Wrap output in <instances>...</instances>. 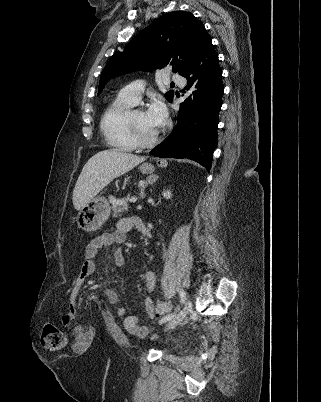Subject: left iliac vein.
<instances>
[{"instance_id":"4c4485c4","label":"left iliac vein","mask_w":321,"mask_h":402,"mask_svg":"<svg viewBox=\"0 0 321 402\" xmlns=\"http://www.w3.org/2000/svg\"><path fill=\"white\" fill-rule=\"evenodd\" d=\"M191 309H192V302L190 299H188L183 308L178 312V314L169 320L165 329L166 330L172 329L180 322H182L185 319V317L190 313Z\"/></svg>"}]
</instances>
